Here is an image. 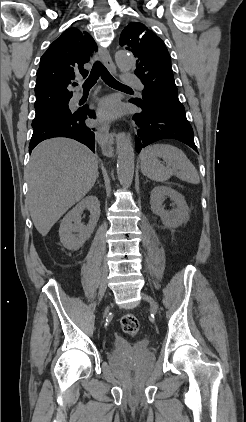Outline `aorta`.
I'll return each mask as SVG.
<instances>
[{
  "instance_id": "1",
  "label": "aorta",
  "mask_w": 246,
  "mask_h": 422,
  "mask_svg": "<svg viewBox=\"0 0 246 422\" xmlns=\"http://www.w3.org/2000/svg\"><path fill=\"white\" fill-rule=\"evenodd\" d=\"M118 68L122 71H129L134 66L132 55L125 51H119L115 55ZM135 154L133 143L127 139L121 147L117 158V176L120 184L124 187L131 185L134 176Z\"/></svg>"
}]
</instances>
